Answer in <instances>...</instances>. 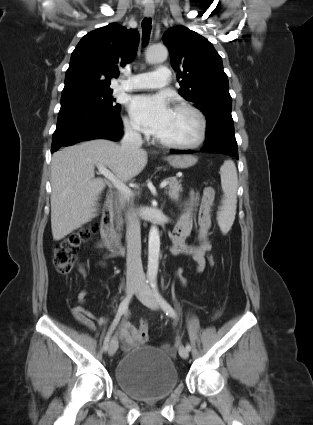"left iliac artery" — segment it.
Returning <instances> with one entry per match:
<instances>
[{"mask_svg":"<svg viewBox=\"0 0 313 425\" xmlns=\"http://www.w3.org/2000/svg\"><path fill=\"white\" fill-rule=\"evenodd\" d=\"M150 285H151L154 296L156 297V299L158 300L159 304L161 305L163 310L166 312V314L173 317V318H176L177 315H176L174 309L172 308V306L159 293L156 279H152L150 281ZM186 349L188 351L191 350L190 344L186 345Z\"/></svg>","mask_w":313,"mask_h":425,"instance_id":"obj_1","label":"left iliac artery"}]
</instances>
